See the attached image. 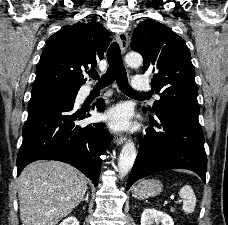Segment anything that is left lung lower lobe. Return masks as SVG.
I'll use <instances>...</instances> for the list:
<instances>
[{
    "label": "left lung lower lobe",
    "mask_w": 228,
    "mask_h": 225,
    "mask_svg": "<svg viewBox=\"0 0 228 225\" xmlns=\"http://www.w3.org/2000/svg\"><path fill=\"white\" fill-rule=\"evenodd\" d=\"M160 125L149 114L150 124L141 140L138 155L129 175L127 190L137 180L167 169H188L197 173L205 183L207 158L204 135L199 124V112L163 107L156 112Z\"/></svg>",
    "instance_id": "obj_1"
}]
</instances>
